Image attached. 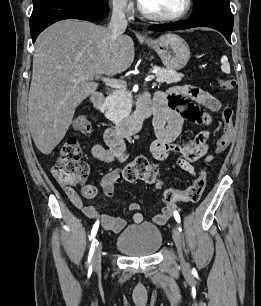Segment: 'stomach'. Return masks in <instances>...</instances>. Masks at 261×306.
Wrapping results in <instances>:
<instances>
[{
	"label": "stomach",
	"instance_id": "stomach-1",
	"mask_svg": "<svg viewBox=\"0 0 261 306\" xmlns=\"http://www.w3.org/2000/svg\"><path fill=\"white\" fill-rule=\"evenodd\" d=\"M145 43L156 51L167 69L180 70L190 59L188 44L176 34L167 33L158 39L146 40Z\"/></svg>",
	"mask_w": 261,
	"mask_h": 306
}]
</instances>
